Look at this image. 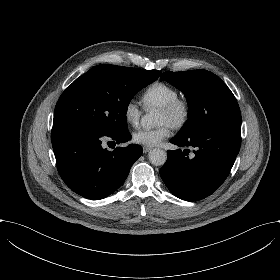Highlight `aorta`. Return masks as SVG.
I'll return each mask as SVG.
<instances>
[{"label": "aorta", "instance_id": "obj_1", "mask_svg": "<svg viewBox=\"0 0 280 280\" xmlns=\"http://www.w3.org/2000/svg\"><path fill=\"white\" fill-rule=\"evenodd\" d=\"M157 117L155 113H150L145 115L141 119V125L145 129H151L157 124ZM149 161L155 165V166H160L163 165L167 159V154L165 150L160 149V148H154L152 149L149 154Z\"/></svg>", "mask_w": 280, "mask_h": 280}]
</instances>
